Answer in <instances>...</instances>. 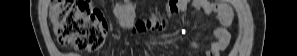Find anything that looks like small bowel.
Here are the masks:
<instances>
[{"label":"small bowel","instance_id":"obj_1","mask_svg":"<svg viewBox=\"0 0 297 56\" xmlns=\"http://www.w3.org/2000/svg\"><path fill=\"white\" fill-rule=\"evenodd\" d=\"M189 0H170L168 9L172 13L184 12L187 9ZM193 6L201 10L206 16L216 13V28L214 30L215 39L211 41L207 56H218L227 48L230 42V33L227 26L233 24V12L223 4L212 3L207 0H193ZM114 15L120 25L124 28H134V32H144L147 30H163L165 23L159 20L153 13H148L145 18L135 25V9L131 1L125 0L114 7ZM190 47H197L196 42H189Z\"/></svg>","mask_w":297,"mask_h":56}]
</instances>
